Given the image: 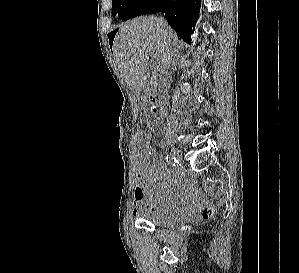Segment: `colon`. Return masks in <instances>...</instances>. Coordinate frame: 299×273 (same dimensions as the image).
Here are the masks:
<instances>
[{
    "instance_id": "colon-1",
    "label": "colon",
    "mask_w": 299,
    "mask_h": 273,
    "mask_svg": "<svg viewBox=\"0 0 299 273\" xmlns=\"http://www.w3.org/2000/svg\"><path fill=\"white\" fill-rule=\"evenodd\" d=\"M150 143H151V141H149L147 139L144 140V144L146 146L150 145ZM214 215H215V208H214L213 204H211V203L206 204V206L202 210V217L204 219L208 220V219H212L214 217ZM182 230L183 231H187L188 227L187 226H183Z\"/></svg>"
}]
</instances>
